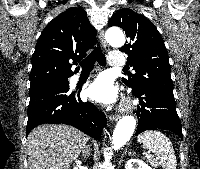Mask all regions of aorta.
<instances>
[{"instance_id":"obj_1","label":"aorta","mask_w":200,"mask_h":169,"mask_svg":"<svg viewBox=\"0 0 200 169\" xmlns=\"http://www.w3.org/2000/svg\"><path fill=\"white\" fill-rule=\"evenodd\" d=\"M106 41L112 47H122L125 43V36L119 29H110L106 32ZM136 128V119L131 116H123L117 123L112 137V147L120 149L129 141Z\"/></svg>"}]
</instances>
